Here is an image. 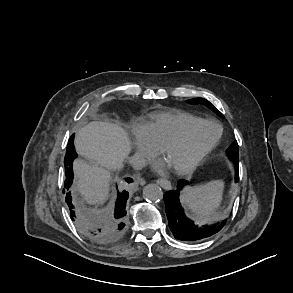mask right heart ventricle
Listing matches in <instances>:
<instances>
[{
    "mask_svg": "<svg viewBox=\"0 0 293 293\" xmlns=\"http://www.w3.org/2000/svg\"><path fill=\"white\" fill-rule=\"evenodd\" d=\"M199 120L198 117L181 110L155 112L142 125L145 135L152 145L159 149L172 140L188 124Z\"/></svg>",
    "mask_w": 293,
    "mask_h": 293,
    "instance_id": "e07e8e85",
    "label": "right heart ventricle"
}]
</instances>
